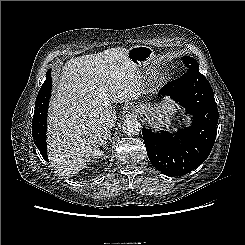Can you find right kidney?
<instances>
[{
  "label": "right kidney",
  "mask_w": 245,
  "mask_h": 245,
  "mask_svg": "<svg viewBox=\"0 0 245 245\" xmlns=\"http://www.w3.org/2000/svg\"><path fill=\"white\" fill-rule=\"evenodd\" d=\"M103 155H104V151L96 150V151L94 152V154L92 155V157H93L94 159H99V158H102Z\"/></svg>",
  "instance_id": "right-kidney-1"
}]
</instances>
